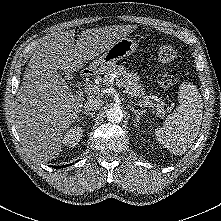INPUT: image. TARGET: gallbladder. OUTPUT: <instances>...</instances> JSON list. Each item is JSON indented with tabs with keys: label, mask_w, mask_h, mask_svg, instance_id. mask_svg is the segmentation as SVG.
Segmentation results:
<instances>
[{
	"label": "gallbladder",
	"mask_w": 221,
	"mask_h": 221,
	"mask_svg": "<svg viewBox=\"0 0 221 221\" xmlns=\"http://www.w3.org/2000/svg\"><path fill=\"white\" fill-rule=\"evenodd\" d=\"M62 74L65 76L66 79H70L71 78V74L68 72L63 71Z\"/></svg>",
	"instance_id": "obj_1"
}]
</instances>
